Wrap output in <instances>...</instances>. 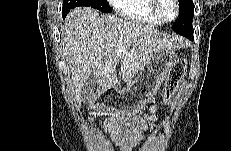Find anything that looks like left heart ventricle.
I'll return each mask as SVG.
<instances>
[{
	"label": "left heart ventricle",
	"mask_w": 231,
	"mask_h": 151,
	"mask_svg": "<svg viewBox=\"0 0 231 151\" xmlns=\"http://www.w3.org/2000/svg\"><path fill=\"white\" fill-rule=\"evenodd\" d=\"M159 12L160 14L167 19H170L174 16L175 7L172 0H160L159 1Z\"/></svg>",
	"instance_id": "left-heart-ventricle-1"
}]
</instances>
